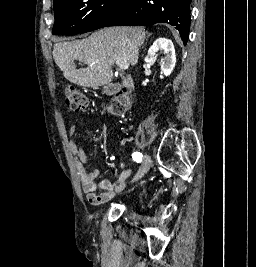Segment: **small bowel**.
I'll list each match as a JSON object with an SVG mask.
<instances>
[{"label":"small bowel","mask_w":256,"mask_h":267,"mask_svg":"<svg viewBox=\"0 0 256 267\" xmlns=\"http://www.w3.org/2000/svg\"><path fill=\"white\" fill-rule=\"evenodd\" d=\"M71 136L77 133V125L73 123L69 128ZM69 149L75 155V170L79 177L83 192L86 194L88 201L93 205H99L110 200L115 193L124 188L126 179L131 175L132 169L124 170L118 177L117 181H110L108 179L96 182L98 171H87L84 164L89 163L90 159L84 153L81 145L76 141H69Z\"/></svg>","instance_id":"1"}]
</instances>
